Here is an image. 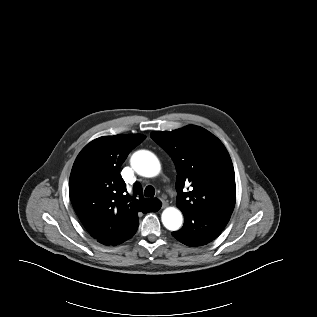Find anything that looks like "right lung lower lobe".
I'll use <instances>...</instances> for the list:
<instances>
[{"instance_id":"right-lung-lower-lobe-1","label":"right lung lower lobe","mask_w":317,"mask_h":317,"mask_svg":"<svg viewBox=\"0 0 317 317\" xmlns=\"http://www.w3.org/2000/svg\"><path fill=\"white\" fill-rule=\"evenodd\" d=\"M161 205H162V203H158L150 212H157L161 208ZM94 238H96V237H94ZM96 239L100 242V239H98V238H96Z\"/></svg>"}]
</instances>
